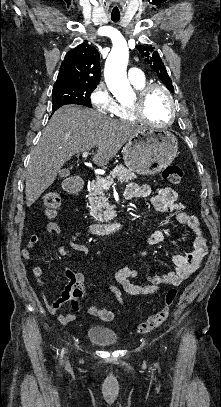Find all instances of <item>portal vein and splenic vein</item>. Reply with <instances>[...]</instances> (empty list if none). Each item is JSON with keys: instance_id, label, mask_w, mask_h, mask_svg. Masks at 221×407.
I'll return each instance as SVG.
<instances>
[{"instance_id": "1", "label": "portal vein and splenic vein", "mask_w": 221, "mask_h": 407, "mask_svg": "<svg viewBox=\"0 0 221 407\" xmlns=\"http://www.w3.org/2000/svg\"><path fill=\"white\" fill-rule=\"evenodd\" d=\"M88 152L87 151H84L83 153H82V158H87V156H88ZM96 179H97V181L101 184V186L104 188V189H109L110 188V186H111V184L114 182V180H106V179H104V178H102L101 176H99V175H96Z\"/></svg>"}]
</instances>
